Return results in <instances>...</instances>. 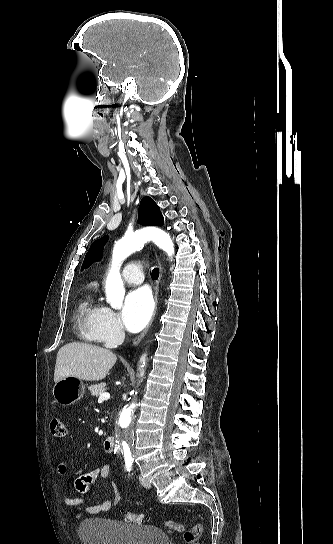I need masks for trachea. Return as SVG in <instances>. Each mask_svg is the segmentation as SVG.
<instances>
[{
  "instance_id": "obj_1",
  "label": "trachea",
  "mask_w": 333,
  "mask_h": 544,
  "mask_svg": "<svg viewBox=\"0 0 333 544\" xmlns=\"http://www.w3.org/2000/svg\"><path fill=\"white\" fill-rule=\"evenodd\" d=\"M151 275H152V278H153L154 280L158 279V277H159V269H158V268H154V269L152 270Z\"/></svg>"
}]
</instances>
